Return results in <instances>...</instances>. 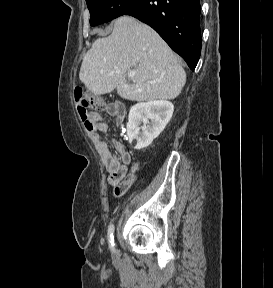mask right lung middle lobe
Segmentation results:
<instances>
[{
	"label": "right lung middle lobe",
	"instance_id": "dd1d6c3e",
	"mask_svg": "<svg viewBox=\"0 0 273 288\" xmlns=\"http://www.w3.org/2000/svg\"><path fill=\"white\" fill-rule=\"evenodd\" d=\"M135 0H86L92 26L122 16Z\"/></svg>",
	"mask_w": 273,
	"mask_h": 288
}]
</instances>
